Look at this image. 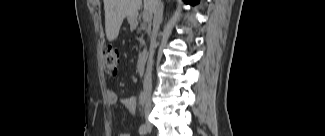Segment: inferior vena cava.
Returning a JSON list of instances; mask_svg holds the SVG:
<instances>
[{
	"label": "inferior vena cava",
	"instance_id": "inferior-vena-cava-1",
	"mask_svg": "<svg viewBox=\"0 0 325 136\" xmlns=\"http://www.w3.org/2000/svg\"><path fill=\"white\" fill-rule=\"evenodd\" d=\"M152 2V11L154 13V20H153V30L156 34L159 30L160 24L162 22L163 17V4L162 0H150ZM152 64L153 61L150 62L149 70L146 74L144 79V92L145 96L148 100H150L151 90H152V78H151V71H152Z\"/></svg>",
	"mask_w": 325,
	"mask_h": 136
}]
</instances>
